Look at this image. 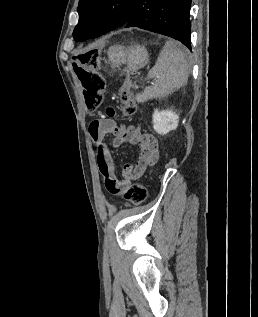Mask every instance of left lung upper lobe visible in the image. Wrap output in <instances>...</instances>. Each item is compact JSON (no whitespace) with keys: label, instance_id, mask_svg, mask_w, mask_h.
Segmentation results:
<instances>
[{"label":"left lung upper lobe","instance_id":"left-lung-upper-lobe-1","mask_svg":"<svg viewBox=\"0 0 258 317\" xmlns=\"http://www.w3.org/2000/svg\"><path fill=\"white\" fill-rule=\"evenodd\" d=\"M135 0H79V22L73 31L75 41L99 27L115 29L123 26Z\"/></svg>","mask_w":258,"mask_h":317}]
</instances>
